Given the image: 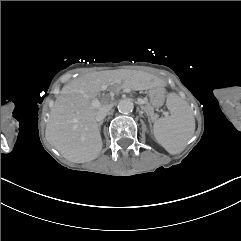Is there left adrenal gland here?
<instances>
[{
	"label": "left adrenal gland",
	"instance_id": "obj_1",
	"mask_svg": "<svg viewBox=\"0 0 241 241\" xmlns=\"http://www.w3.org/2000/svg\"><path fill=\"white\" fill-rule=\"evenodd\" d=\"M148 120H149V123H150V129H151V131H153L152 130V124H151V118L148 116Z\"/></svg>",
	"mask_w": 241,
	"mask_h": 241
}]
</instances>
